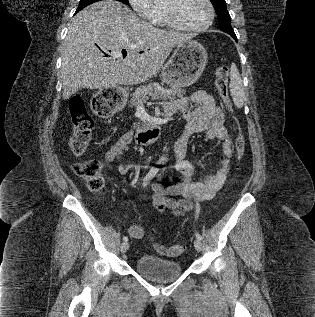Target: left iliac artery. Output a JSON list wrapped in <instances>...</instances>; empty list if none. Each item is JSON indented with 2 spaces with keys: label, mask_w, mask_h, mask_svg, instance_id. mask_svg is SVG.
<instances>
[{
  "label": "left iliac artery",
  "mask_w": 315,
  "mask_h": 317,
  "mask_svg": "<svg viewBox=\"0 0 315 317\" xmlns=\"http://www.w3.org/2000/svg\"><path fill=\"white\" fill-rule=\"evenodd\" d=\"M199 211H200V207H199V204L197 203L196 204V217H198ZM196 238L199 240H202V236L198 232H196Z\"/></svg>",
  "instance_id": "obj_1"
}]
</instances>
